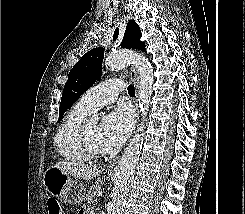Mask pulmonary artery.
<instances>
[{
	"mask_svg": "<svg viewBox=\"0 0 245 214\" xmlns=\"http://www.w3.org/2000/svg\"><path fill=\"white\" fill-rule=\"evenodd\" d=\"M122 89V80H105L84 93L79 102L90 111H94L113 102Z\"/></svg>",
	"mask_w": 245,
	"mask_h": 214,
	"instance_id": "e3ab8cb5",
	"label": "pulmonary artery"
}]
</instances>
